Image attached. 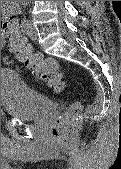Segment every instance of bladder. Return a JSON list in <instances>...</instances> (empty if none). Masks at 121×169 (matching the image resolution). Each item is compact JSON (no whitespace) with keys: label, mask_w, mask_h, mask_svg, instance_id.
Here are the masks:
<instances>
[{"label":"bladder","mask_w":121,"mask_h":169,"mask_svg":"<svg viewBox=\"0 0 121 169\" xmlns=\"http://www.w3.org/2000/svg\"><path fill=\"white\" fill-rule=\"evenodd\" d=\"M1 104L8 117L22 121L40 120L53 107L48 96L27 85L11 70L1 72Z\"/></svg>","instance_id":"obj_1"}]
</instances>
